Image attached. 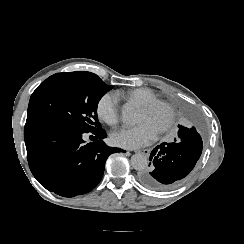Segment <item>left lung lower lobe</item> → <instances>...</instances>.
<instances>
[{"mask_svg": "<svg viewBox=\"0 0 244 244\" xmlns=\"http://www.w3.org/2000/svg\"><path fill=\"white\" fill-rule=\"evenodd\" d=\"M178 127V138L173 143L164 142L151 152V167L139 173L144 186L160 191L172 190L196 165L203 147L199 121L191 117L186 126Z\"/></svg>", "mask_w": 244, "mask_h": 244, "instance_id": "left-lung-lower-lobe-1", "label": "left lung lower lobe"}]
</instances>
